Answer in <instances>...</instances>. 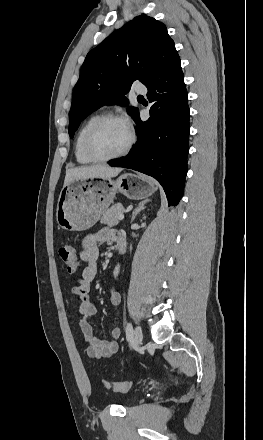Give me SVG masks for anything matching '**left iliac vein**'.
I'll return each mask as SVG.
<instances>
[{"mask_svg": "<svg viewBox=\"0 0 263 440\" xmlns=\"http://www.w3.org/2000/svg\"><path fill=\"white\" fill-rule=\"evenodd\" d=\"M142 339H143V335H142V330L140 326H137L134 329V344L136 346H140L142 344Z\"/></svg>", "mask_w": 263, "mask_h": 440, "instance_id": "4c4485c4", "label": "left iliac vein"}]
</instances>
